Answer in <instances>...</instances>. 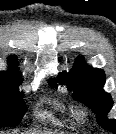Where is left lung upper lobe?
<instances>
[{
  "label": "left lung upper lobe",
  "mask_w": 116,
  "mask_h": 134,
  "mask_svg": "<svg viewBox=\"0 0 116 134\" xmlns=\"http://www.w3.org/2000/svg\"><path fill=\"white\" fill-rule=\"evenodd\" d=\"M105 80L103 70L87 65L84 59L79 57L68 73H60L57 81L53 80L50 85L57 88L56 82L67 83L68 89L74 90L73 98L94 112L98 124L116 134V120L107 119L113 101L111 96L103 90Z\"/></svg>",
  "instance_id": "1"
}]
</instances>
